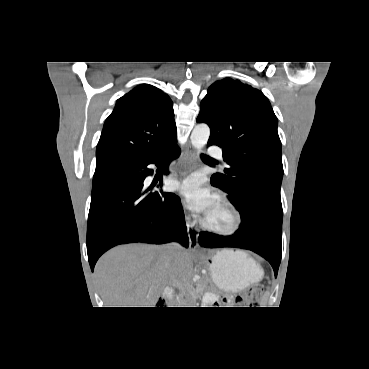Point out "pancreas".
Returning a JSON list of instances; mask_svg holds the SVG:
<instances>
[{
  "instance_id": "pancreas-1",
  "label": "pancreas",
  "mask_w": 369,
  "mask_h": 369,
  "mask_svg": "<svg viewBox=\"0 0 369 369\" xmlns=\"http://www.w3.org/2000/svg\"><path fill=\"white\" fill-rule=\"evenodd\" d=\"M203 291H204V285H203L202 282H199V284L197 285L196 292L192 293V295H191L192 296L191 299H196L197 297L200 296V294L203 293ZM189 302H190V299L187 298L185 300V303H189Z\"/></svg>"
}]
</instances>
